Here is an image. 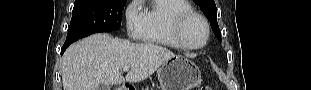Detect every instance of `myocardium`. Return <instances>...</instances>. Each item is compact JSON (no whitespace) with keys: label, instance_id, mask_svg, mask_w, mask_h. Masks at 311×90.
Masks as SVG:
<instances>
[{"label":"myocardium","instance_id":"f54148a6","mask_svg":"<svg viewBox=\"0 0 311 90\" xmlns=\"http://www.w3.org/2000/svg\"><path fill=\"white\" fill-rule=\"evenodd\" d=\"M193 18L199 19L203 23L205 28V37L200 44L190 43L184 35V28L186 24ZM173 33L176 40L179 42L182 48L190 50H198L203 48L208 43L210 38V26L208 20L202 14L192 10L181 13L175 18L173 24Z\"/></svg>","mask_w":311,"mask_h":90}]
</instances>
